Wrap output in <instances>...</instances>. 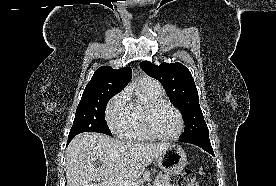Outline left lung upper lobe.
Wrapping results in <instances>:
<instances>
[{
  "instance_id": "1",
  "label": "left lung upper lobe",
  "mask_w": 276,
  "mask_h": 186,
  "mask_svg": "<svg viewBox=\"0 0 276 186\" xmlns=\"http://www.w3.org/2000/svg\"><path fill=\"white\" fill-rule=\"evenodd\" d=\"M140 67L160 81L168 97L182 112L185 129L181 138L209 134L199 105L198 91L187 67L178 62H163L158 66L148 61L141 62Z\"/></svg>"
}]
</instances>
